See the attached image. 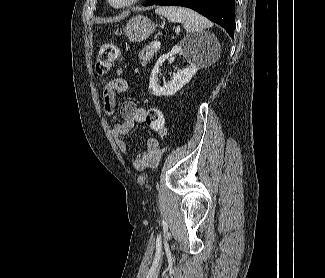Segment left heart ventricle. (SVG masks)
<instances>
[{
	"instance_id": "obj_1",
	"label": "left heart ventricle",
	"mask_w": 325,
	"mask_h": 278,
	"mask_svg": "<svg viewBox=\"0 0 325 278\" xmlns=\"http://www.w3.org/2000/svg\"><path fill=\"white\" fill-rule=\"evenodd\" d=\"M114 3H116V4H120V3H123V2H125V1H127V0H112Z\"/></svg>"
}]
</instances>
